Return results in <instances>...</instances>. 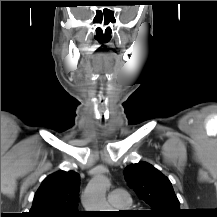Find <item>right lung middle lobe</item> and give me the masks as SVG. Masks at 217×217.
Listing matches in <instances>:
<instances>
[{"instance_id": "1", "label": "right lung middle lobe", "mask_w": 217, "mask_h": 217, "mask_svg": "<svg viewBox=\"0 0 217 217\" xmlns=\"http://www.w3.org/2000/svg\"><path fill=\"white\" fill-rule=\"evenodd\" d=\"M64 217H77V216H74V215H67V216H64Z\"/></svg>"}]
</instances>
